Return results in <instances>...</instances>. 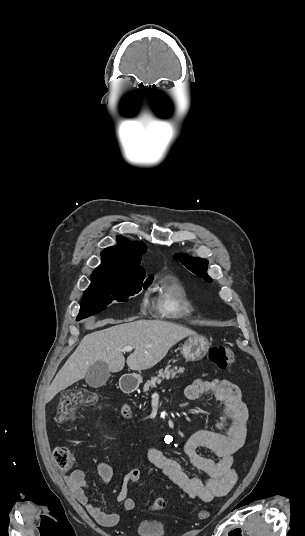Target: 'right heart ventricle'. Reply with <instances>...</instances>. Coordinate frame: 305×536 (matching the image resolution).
<instances>
[{
	"mask_svg": "<svg viewBox=\"0 0 305 536\" xmlns=\"http://www.w3.org/2000/svg\"><path fill=\"white\" fill-rule=\"evenodd\" d=\"M152 297L167 318H185L191 316L193 312L186 292L174 280H160L153 290Z\"/></svg>",
	"mask_w": 305,
	"mask_h": 536,
	"instance_id": "right-heart-ventricle-1",
	"label": "right heart ventricle"
}]
</instances>
